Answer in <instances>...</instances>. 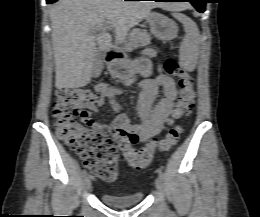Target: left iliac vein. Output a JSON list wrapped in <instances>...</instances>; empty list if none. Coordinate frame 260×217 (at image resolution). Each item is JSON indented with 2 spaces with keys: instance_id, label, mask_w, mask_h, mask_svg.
<instances>
[{
  "instance_id": "left-iliac-vein-1",
  "label": "left iliac vein",
  "mask_w": 260,
  "mask_h": 217,
  "mask_svg": "<svg viewBox=\"0 0 260 217\" xmlns=\"http://www.w3.org/2000/svg\"><path fill=\"white\" fill-rule=\"evenodd\" d=\"M155 186H156L157 190L159 191V193L162 194V192H163V181L161 180L160 177H158L155 180Z\"/></svg>"
}]
</instances>
